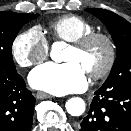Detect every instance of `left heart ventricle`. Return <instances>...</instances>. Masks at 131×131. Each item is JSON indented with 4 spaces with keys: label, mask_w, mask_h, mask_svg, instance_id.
I'll list each match as a JSON object with an SVG mask.
<instances>
[{
    "label": "left heart ventricle",
    "mask_w": 131,
    "mask_h": 131,
    "mask_svg": "<svg viewBox=\"0 0 131 131\" xmlns=\"http://www.w3.org/2000/svg\"><path fill=\"white\" fill-rule=\"evenodd\" d=\"M107 49L102 41H96L84 51L71 47L67 49L64 60L77 62L86 73L100 69L105 63Z\"/></svg>",
    "instance_id": "obj_1"
}]
</instances>
